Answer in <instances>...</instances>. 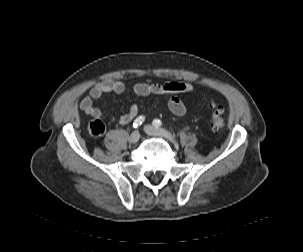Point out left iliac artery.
Instances as JSON below:
<instances>
[{
  "label": "left iliac artery",
  "instance_id": "obj_1",
  "mask_svg": "<svg viewBox=\"0 0 303 252\" xmlns=\"http://www.w3.org/2000/svg\"><path fill=\"white\" fill-rule=\"evenodd\" d=\"M153 125L155 127H159L162 125V122L159 119H155V120H153Z\"/></svg>",
  "mask_w": 303,
  "mask_h": 252
}]
</instances>
